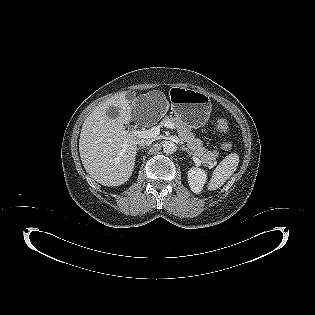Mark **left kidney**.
<instances>
[{"label": "left kidney", "mask_w": 315, "mask_h": 315, "mask_svg": "<svg viewBox=\"0 0 315 315\" xmlns=\"http://www.w3.org/2000/svg\"><path fill=\"white\" fill-rule=\"evenodd\" d=\"M206 179V172L200 168L193 167L188 171V183L194 193L202 191Z\"/></svg>", "instance_id": "1"}]
</instances>
